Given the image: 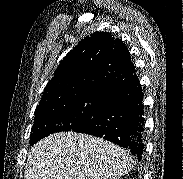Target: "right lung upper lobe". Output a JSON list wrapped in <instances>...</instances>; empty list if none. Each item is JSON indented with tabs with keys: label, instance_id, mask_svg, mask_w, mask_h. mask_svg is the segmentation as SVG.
I'll use <instances>...</instances> for the list:
<instances>
[{
	"label": "right lung upper lobe",
	"instance_id": "1",
	"mask_svg": "<svg viewBox=\"0 0 183 179\" xmlns=\"http://www.w3.org/2000/svg\"><path fill=\"white\" fill-rule=\"evenodd\" d=\"M136 72L127 46L108 32L82 39L60 62L39 106L88 94H103Z\"/></svg>",
	"mask_w": 183,
	"mask_h": 179
}]
</instances>
